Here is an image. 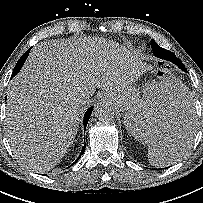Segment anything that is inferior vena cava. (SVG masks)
Instances as JSON below:
<instances>
[{
  "label": "inferior vena cava",
  "instance_id": "602c4592",
  "mask_svg": "<svg viewBox=\"0 0 203 203\" xmlns=\"http://www.w3.org/2000/svg\"><path fill=\"white\" fill-rule=\"evenodd\" d=\"M83 102H84V100H83V99H80V100H79V103H83Z\"/></svg>",
  "mask_w": 203,
  "mask_h": 203
}]
</instances>
